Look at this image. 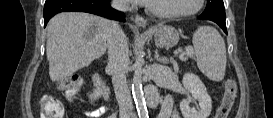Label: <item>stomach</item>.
I'll return each mask as SVG.
<instances>
[{"label":"stomach","instance_id":"stomach-1","mask_svg":"<svg viewBox=\"0 0 273 118\" xmlns=\"http://www.w3.org/2000/svg\"><path fill=\"white\" fill-rule=\"evenodd\" d=\"M154 40L161 48H170L179 42L178 31L171 26H156L152 29Z\"/></svg>","mask_w":273,"mask_h":118}]
</instances>
